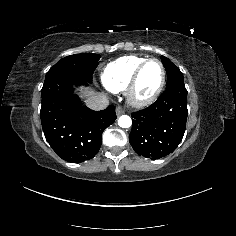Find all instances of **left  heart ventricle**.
<instances>
[{
    "mask_svg": "<svg viewBox=\"0 0 236 236\" xmlns=\"http://www.w3.org/2000/svg\"><path fill=\"white\" fill-rule=\"evenodd\" d=\"M162 78V68L157 62H150L142 71L136 94L140 98H147L157 89Z\"/></svg>",
    "mask_w": 236,
    "mask_h": 236,
    "instance_id": "left-heart-ventricle-1",
    "label": "left heart ventricle"
}]
</instances>
